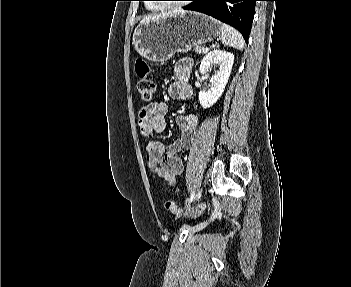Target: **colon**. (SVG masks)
Here are the masks:
<instances>
[{
  "mask_svg": "<svg viewBox=\"0 0 351 287\" xmlns=\"http://www.w3.org/2000/svg\"><path fill=\"white\" fill-rule=\"evenodd\" d=\"M135 72L139 77V81L137 83L139 100L142 104L149 105L153 101L156 92V85L154 81L149 78L151 73L150 66L145 60L138 58L135 61ZM165 207L167 211L175 216H180L183 214V210L176 202L172 200L167 201L165 203Z\"/></svg>",
  "mask_w": 351,
  "mask_h": 287,
  "instance_id": "5ec220e1",
  "label": "colon"
}]
</instances>
